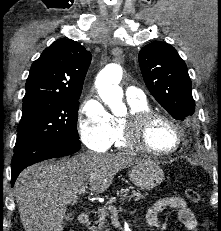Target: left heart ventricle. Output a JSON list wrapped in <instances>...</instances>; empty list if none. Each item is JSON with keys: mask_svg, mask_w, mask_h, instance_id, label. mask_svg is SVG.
Here are the masks:
<instances>
[{"mask_svg": "<svg viewBox=\"0 0 221 231\" xmlns=\"http://www.w3.org/2000/svg\"><path fill=\"white\" fill-rule=\"evenodd\" d=\"M176 141V132L167 122L157 120L150 125L147 142L152 149L156 151H168L175 146Z\"/></svg>", "mask_w": 221, "mask_h": 231, "instance_id": "1", "label": "left heart ventricle"}]
</instances>
